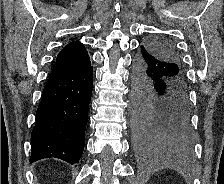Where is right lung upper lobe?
I'll return each instance as SVG.
<instances>
[{
    "mask_svg": "<svg viewBox=\"0 0 224 184\" xmlns=\"http://www.w3.org/2000/svg\"><path fill=\"white\" fill-rule=\"evenodd\" d=\"M90 61L84 45L74 41L66 45L57 55L56 62L50 74H61L80 69Z\"/></svg>",
    "mask_w": 224,
    "mask_h": 184,
    "instance_id": "obj_1",
    "label": "right lung upper lobe"
}]
</instances>
